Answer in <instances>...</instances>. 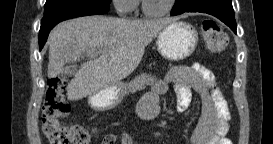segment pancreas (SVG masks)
<instances>
[{
  "label": "pancreas",
  "instance_id": "1",
  "mask_svg": "<svg viewBox=\"0 0 273 144\" xmlns=\"http://www.w3.org/2000/svg\"><path fill=\"white\" fill-rule=\"evenodd\" d=\"M155 81L156 78L151 74L142 73L136 76L130 83L126 85L124 88V95L144 90L147 85H153Z\"/></svg>",
  "mask_w": 273,
  "mask_h": 144
}]
</instances>
